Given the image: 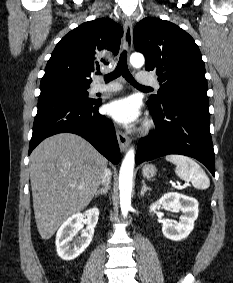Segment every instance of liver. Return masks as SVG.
<instances>
[{
    "mask_svg": "<svg viewBox=\"0 0 233 283\" xmlns=\"http://www.w3.org/2000/svg\"><path fill=\"white\" fill-rule=\"evenodd\" d=\"M106 167L107 160L89 142L72 133L51 136L33 150L30 180L42 239L51 238L69 217L88 206Z\"/></svg>",
    "mask_w": 233,
    "mask_h": 283,
    "instance_id": "6515ba94",
    "label": "liver"
}]
</instances>
